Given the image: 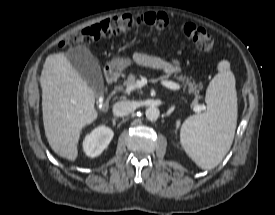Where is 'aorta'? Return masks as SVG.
<instances>
[{
	"instance_id": "aorta-1",
	"label": "aorta",
	"mask_w": 275,
	"mask_h": 215,
	"mask_svg": "<svg viewBox=\"0 0 275 215\" xmlns=\"http://www.w3.org/2000/svg\"><path fill=\"white\" fill-rule=\"evenodd\" d=\"M145 116L150 121H155L160 116V111L157 107H149L145 111Z\"/></svg>"
}]
</instances>
